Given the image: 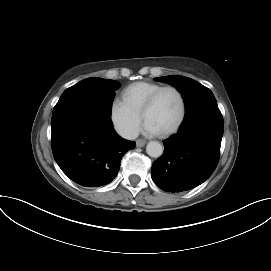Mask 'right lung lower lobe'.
I'll return each mask as SVG.
<instances>
[{
  "mask_svg": "<svg viewBox=\"0 0 271 271\" xmlns=\"http://www.w3.org/2000/svg\"><path fill=\"white\" fill-rule=\"evenodd\" d=\"M52 151L61 170L86 187L109 184L123 155L135 147L113 130L110 112L93 108L51 120Z\"/></svg>",
  "mask_w": 271,
  "mask_h": 271,
  "instance_id": "obj_1",
  "label": "right lung lower lobe"
}]
</instances>
